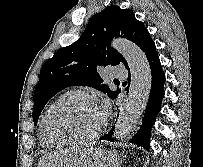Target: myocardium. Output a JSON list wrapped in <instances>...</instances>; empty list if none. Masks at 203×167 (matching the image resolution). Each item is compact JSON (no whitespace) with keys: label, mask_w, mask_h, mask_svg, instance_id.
Here are the masks:
<instances>
[{"label":"myocardium","mask_w":203,"mask_h":167,"mask_svg":"<svg viewBox=\"0 0 203 167\" xmlns=\"http://www.w3.org/2000/svg\"><path fill=\"white\" fill-rule=\"evenodd\" d=\"M79 99H83V100H87V101H91V97L85 93V92H75L70 94L69 96H67L66 98L62 99L59 103H57L51 110L48 111V113L45 115L43 121H42V129L43 132L45 134V136L57 143L60 144H85V143H89L92 142L94 140H96L97 138L100 137V135L104 132L105 128H106V119L105 117H103V122L101 127L94 132L93 134L87 136V137H82V138H64L58 135L53 134L50 129H49V121L50 119L56 115L57 113H59L60 111H62L64 108H66L68 105H70L71 103L79 100Z\"/></svg>","instance_id":"1"}]
</instances>
